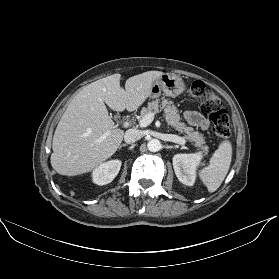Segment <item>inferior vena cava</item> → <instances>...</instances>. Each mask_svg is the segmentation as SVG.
<instances>
[{"label":"inferior vena cava","instance_id":"inferior-vena-cava-1","mask_svg":"<svg viewBox=\"0 0 279 279\" xmlns=\"http://www.w3.org/2000/svg\"><path fill=\"white\" fill-rule=\"evenodd\" d=\"M140 139H141V133L139 130H136V129H129L126 131V133L124 135V141L127 144L135 143Z\"/></svg>","mask_w":279,"mask_h":279}]
</instances>
